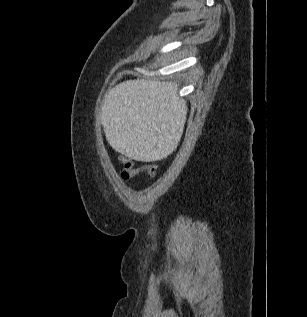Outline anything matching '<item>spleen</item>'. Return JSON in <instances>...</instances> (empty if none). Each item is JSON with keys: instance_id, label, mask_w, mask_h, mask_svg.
<instances>
[{"instance_id": "3e777b00", "label": "spleen", "mask_w": 307, "mask_h": 317, "mask_svg": "<svg viewBox=\"0 0 307 317\" xmlns=\"http://www.w3.org/2000/svg\"><path fill=\"white\" fill-rule=\"evenodd\" d=\"M174 83L127 81L108 94L102 124L110 145L136 160H164L180 148L176 139L185 102Z\"/></svg>"}]
</instances>
